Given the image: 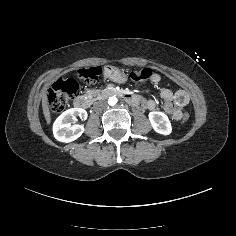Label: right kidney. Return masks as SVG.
Masks as SVG:
<instances>
[{
  "label": "right kidney",
  "mask_w": 236,
  "mask_h": 236,
  "mask_svg": "<svg viewBox=\"0 0 236 236\" xmlns=\"http://www.w3.org/2000/svg\"><path fill=\"white\" fill-rule=\"evenodd\" d=\"M78 116L85 120L87 112L84 109L73 108L63 112L55 120L52 129L56 140L62 143H70L82 136L85 128L76 123Z\"/></svg>",
  "instance_id": "ca27d5eb"
}]
</instances>
